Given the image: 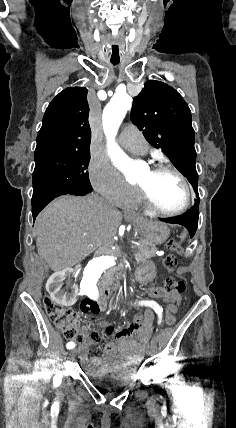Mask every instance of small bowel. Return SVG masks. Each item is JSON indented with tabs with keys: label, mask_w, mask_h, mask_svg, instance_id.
I'll use <instances>...</instances> for the list:
<instances>
[{
	"label": "small bowel",
	"mask_w": 236,
	"mask_h": 428,
	"mask_svg": "<svg viewBox=\"0 0 236 428\" xmlns=\"http://www.w3.org/2000/svg\"><path fill=\"white\" fill-rule=\"evenodd\" d=\"M150 295L153 298L165 299V301L169 304V307L175 304L179 299L178 296L166 293L162 288H152L150 290ZM147 301L150 303V305L147 306L148 309L144 315L141 316V326L134 327L129 325L115 330L112 324H105V333L107 335L114 336V339L107 343L104 347V355L107 358L125 361H139L142 359L144 354V346L151 330V323L153 321L154 314L156 312L163 311L162 306L157 301L153 299H148ZM99 307L100 311H105L107 305L102 303ZM91 338L96 340L99 338V336L95 333H92ZM88 352V345H81L79 355L81 361L90 365H97L99 363V359L90 357Z\"/></svg>",
	"instance_id": "c3829d8e"
}]
</instances>
